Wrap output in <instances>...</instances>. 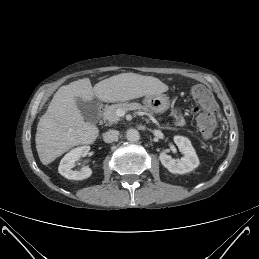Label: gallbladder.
Wrapping results in <instances>:
<instances>
[{"label": "gallbladder", "mask_w": 259, "mask_h": 259, "mask_svg": "<svg viewBox=\"0 0 259 259\" xmlns=\"http://www.w3.org/2000/svg\"><path fill=\"white\" fill-rule=\"evenodd\" d=\"M76 105L87 121L94 122L97 119L98 104L96 100L84 101L82 98H76Z\"/></svg>", "instance_id": "obj_1"}]
</instances>
